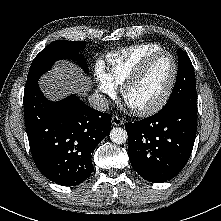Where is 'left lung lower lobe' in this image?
<instances>
[{
    "instance_id": "1",
    "label": "left lung lower lobe",
    "mask_w": 221,
    "mask_h": 221,
    "mask_svg": "<svg viewBox=\"0 0 221 221\" xmlns=\"http://www.w3.org/2000/svg\"><path fill=\"white\" fill-rule=\"evenodd\" d=\"M131 166L145 180L165 182L187 163L197 129V100H184L148 118L126 123Z\"/></svg>"
}]
</instances>
